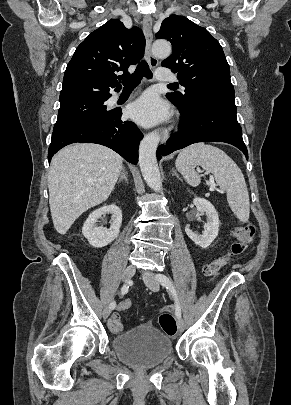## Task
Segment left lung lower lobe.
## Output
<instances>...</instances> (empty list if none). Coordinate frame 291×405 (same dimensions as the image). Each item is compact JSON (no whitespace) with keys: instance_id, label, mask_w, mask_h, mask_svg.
Segmentation results:
<instances>
[{"instance_id":"0a47b994","label":"left lung lower lobe","mask_w":291,"mask_h":405,"mask_svg":"<svg viewBox=\"0 0 291 405\" xmlns=\"http://www.w3.org/2000/svg\"><path fill=\"white\" fill-rule=\"evenodd\" d=\"M234 97L232 91H206L190 95L184 104H174L182 114L179 123L182 131L158 148L157 158L193 143L225 142L239 148L248 159Z\"/></svg>"}]
</instances>
